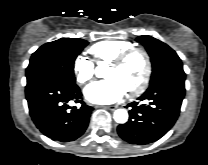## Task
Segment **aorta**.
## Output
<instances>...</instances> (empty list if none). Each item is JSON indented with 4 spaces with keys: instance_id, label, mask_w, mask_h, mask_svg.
Returning a JSON list of instances; mask_svg holds the SVG:
<instances>
[{
    "instance_id": "762f6f07",
    "label": "aorta",
    "mask_w": 208,
    "mask_h": 165,
    "mask_svg": "<svg viewBox=\"0 0 208 165\" xmlns=\"http://www.w3.org/2000/svg\"><path fill=\"white\" fill-rule=\"evenodd\" d=\"M106 65L103 62H99L95 69V74L97 77H103V72L106 69ZM114 120L119 124H124L128 120V112L125 109H117L113 114Z\"/></svg>"
}]
</instances>
